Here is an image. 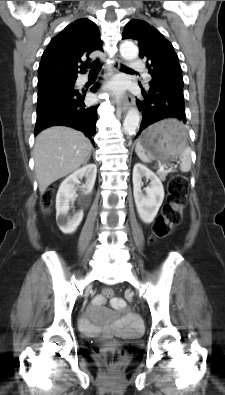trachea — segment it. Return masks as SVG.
<instances>
[{"label": "trachea", "instance_id": "3493384b", "mask_svg": "<svg viewBox=\"0 0 225 395\" xmlns=\"http://www.w3.org/2000/svg\"><path fill=\"white\" fill-rule=\"evenodd\" d=\"M86 67L91 68L90 73H98L100 71V65L96 62H92L89 65H87ZM122 69L123 70H132L124 65H122Z\"/></svg>", "mask_w": 225, "mask_h": 395}]
</instances>
